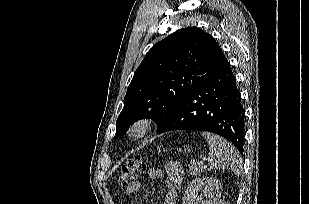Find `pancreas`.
<instances>
[{
    "label": "pancreas",
    "instance_id": "pancreas-1",
    "mask_svg": "<svg viewBox=\"0 0 309 204\" xmlns=\"http://www.w3.org/2000/svg\"><path fill=\"white\" fill-rule=\"evenodd\" d=\"M205 171V168H203L200 163L192 164L189 168V174L193 176H197Z\"/></svg>",
    "mask_w": 309,
    "mask_h": 204
}]
</instances>
